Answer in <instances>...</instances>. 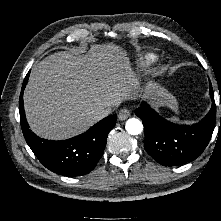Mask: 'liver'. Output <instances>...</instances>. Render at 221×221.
<instances>
[{
	"label": "liver",
	"mask_w": 221,
	"mask_h": 221,
	"mask_svg": "<svg viewBox=\"0 0 221 221\" xmlns=\"http://www.w3.org/2000/svg\"><path fill=\"white\" fill-rule=\"evenodd\" d=\"M87 61L68 52L52 54L34 66L24 93L32 129L39 135L64 138L85 130L98 107L130 99L138 80L126 53L114 45L97 46Z\"/></svg>",
	"instance_id": "liver-1"
}]
</instances>
